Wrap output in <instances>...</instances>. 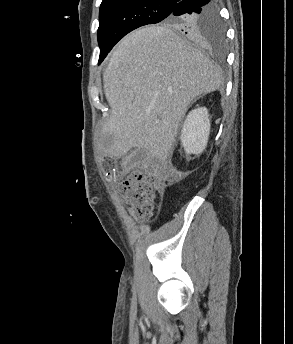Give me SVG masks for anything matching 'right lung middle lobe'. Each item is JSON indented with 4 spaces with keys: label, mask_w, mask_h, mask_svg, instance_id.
<instances>
[{
    "label": "right lung middle lobe",
    "mask_w": 293,
    "mask_h": 344,
    "mask_svg": "<svg viewBox=\"0 0 293 344\" xmlns=\"http://www.w3.org/2000/svg\"><path fill=\"white\" fill-rule=\"evenodd\" d=\"M174 8L175 3L164 0L102 2L98 28L99 64L113 46L127 33L140 26L161 21L181 31L189 26H194L198 29V32L190 37L191 39L215 49L225 47L224 27L219 18L216 5L209 12L182 17L171 15Z\"/></svg>",
    "instance_id": "dd1d6c3e"
}]
</instances>
